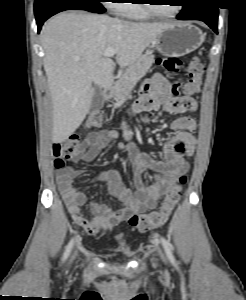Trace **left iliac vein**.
Listing matches in <instances>:
<instances>
[{
    "label": "left iliac vein",
    "instance_id": "obj_1",
    "mask_svg": "<svg viewBox=\"0 0 246 300\" xmlns=\"http://www.w3.org/2000/svg\"><path fill=\"white\" fill-rule=\"evenodd\" d=\"M161 257L164 259V256L161 254Z\"/></svg>",
    "mask_w": 246,
    "mask_h": 300
}]
</instances>
